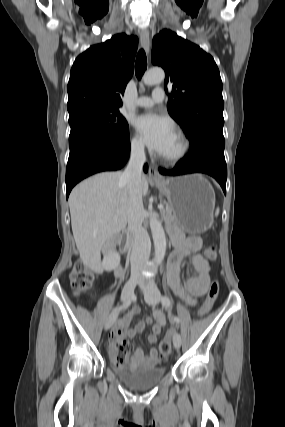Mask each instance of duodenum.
I'll return each instance as SVG.
<instances>
[{"instance_id":"1","label":"duodenum","mask_w":285,"mask_h":427,"mask_svg":"<svg viewBox=\"0 0 285 427\" xmlns=\"http://www.w3.org/2000/svg\"><path fill=\"white\" fill-rule=\"evenodd\" d=\"M127 240H128V236H127V235H124V236H122V237H120V238L118 239V242H119L120 244H123V243H125ZM122 274H123V268H122V267H120V268H118V270H117V275H118V276H120V275H122Z\"/></svg>"}]
</instances>
